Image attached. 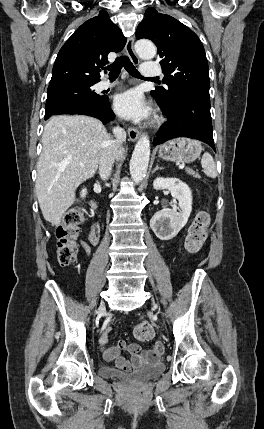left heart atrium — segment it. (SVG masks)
<instances>
[{
	"label": "left heart atrium",
	"mask_w": 264,
	"mask_h": 429,
	"mask_svg": "<svg viewBox=\"0 0 264 429\" xmlns=\"http://www.w3.org/2000/svg\"><path fill=\"white\" fill-rule=\"evenodd\" d=\"M114 109L119 116L134 121L144 119L150 114L149 106L137 90L119 94L114 101Z\"/></svg>",
	"instance_id": "39dd6f15"
}]
</instances>
